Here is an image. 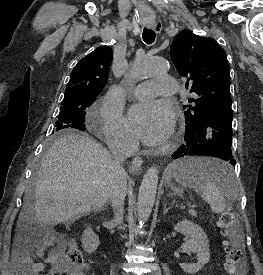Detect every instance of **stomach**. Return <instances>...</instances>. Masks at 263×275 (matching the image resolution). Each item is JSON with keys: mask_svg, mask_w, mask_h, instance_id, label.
I'll list each match as a JSON object with an SVG mask.
<instances>
[{"mask_svg": "<svg viewBox=\"0 0 263 275\" xmlns=\"http://www.w3.org/2000/svg\"><path fill=\"white\" fill-rule=\"evenodd\" d=\"M170 180H171V176L169 175L168 178H167V182H168V184L170 185V187H171L173 193H174V194H177V195H182L183 190H182L180 187H176V186L170 184Z\"/></svg>", "mask_w": 263, "mask_h": 275, "instance_id": "0dacf381", "label": "stomach"}]
</instances>
